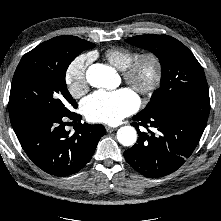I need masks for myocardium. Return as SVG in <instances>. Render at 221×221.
I'll return each instance as SVG.
<instances>
[{
  "label": "myocardium",
  "instance_id": "f54148a6",
  "mask_svg": "<svg viewBox=\"0 0 221 221\" xmlns=\"http://www.w3.org/2000/svg\"><path fill=\"white\" fill-rule=\"evenodd\" d=\"M149 62L152 65V76L147 82L140 79L142 66ZM163 66L159 56L153 52L138 54L122 71L124 81L142 96L152 95L161 85Z\"/></svg>",
  "mask_w": 221,
  "mask_h": 221
}]
</instances>
